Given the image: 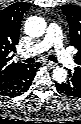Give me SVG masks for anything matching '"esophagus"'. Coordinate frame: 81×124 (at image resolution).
<instances>
[{"instance_id":"esophagus-1","label":"esophagus","mask_w":81,"mask_h":124,"mask_svg":"<svg viewBox=\"0 0 81 124\" xmlns=\"http://www.w3.org/2000/svg\"><path fill=\"white\" fill-rule=\"evenodd\" d=\"M46 63H47V65L50 66V67H55V66L57 65L56 63H54V62H52V61H47Z\"/></svg>"}]
</instances>
